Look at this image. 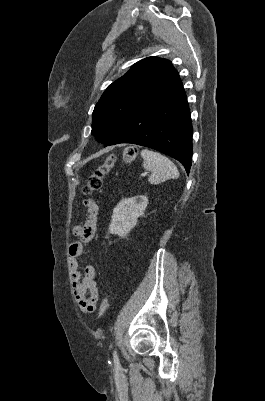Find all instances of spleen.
I'll use <instances>...</instances> for the list:
<instances>
[{"mask_svg":"<svg viewBox=\"0 0 265 401\" xmlns=\"http://www.w3.org/2000/svg\"><path fill=\"white\" fill-rule=\"evenodd\" d=\"M141 156L144 168L151 170L148 178L150 184H160L168 178H178V168L167 156H163L160 152H154V150H148V148L141 150Z\"/></svg>","mask_w":265,"mask_h":401,"instance_id":"spleen-1","label":"spleen"}]
</instances>
